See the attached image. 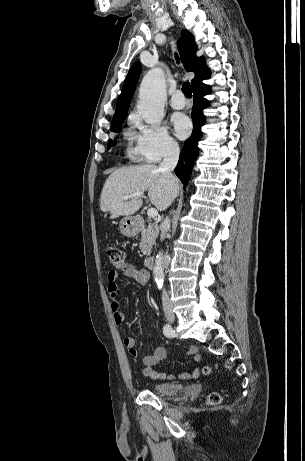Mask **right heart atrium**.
<instances>
[{"label": "right heart atrium", "mask_w": 305, "mask_h": 461, "mask_svg": "<svg viewBox=\"0 0 305 461\" xmlns=\"http://www.w3.org/2000/svg\"><path fill=\"white\" fill-rule=\"evenodd\" d=\"M137 131L132 134L135 141V153L144 162L156 163L162 158L172 156L179 150L177 141L162 124H142L133 119Z\"/></svg>", "instance_id": "1"}]
</instances>
